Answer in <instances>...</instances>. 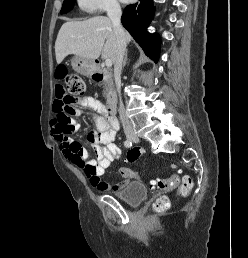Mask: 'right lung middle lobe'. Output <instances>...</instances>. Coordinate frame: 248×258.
<instances>
[{
    "label": "right lung middle lobe",
    "mask_w": 248,
    "mask_h": 258,
    "mask_svg": "<svg viewBox=\"0 0 248 258\" xmlns=\"http://www.w3.org/2000/svg\"><path fill=\"white\" fill-rule=\"evenodd\" d=\"M74 1L75 0H64L60 13L64 14V13H67L68 11H70L71 8L73 7Z\"/></svg>",
    "instance_id": "dd1d6c3e"
}]
</instances>
